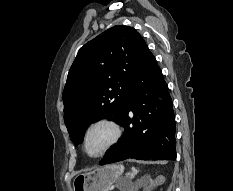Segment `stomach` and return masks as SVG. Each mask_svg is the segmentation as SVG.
<instances>
[{
    "mask_svg": "<svg viewBox=\"0 0 233 191\" xmlns=\"http://www.w3.org/2000/svg\"><path fill=\"white\" fill-rule=\"evenodd\" d=\"M123 166L110 164L77 175L73 191H109L123 173Z\"/></svg>",
    "mask_w": 233,
    "mask_h": 191,
    "instance_id": "stomach-1",
    "label": "stomach"
}]
</instances>
